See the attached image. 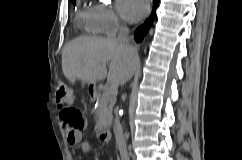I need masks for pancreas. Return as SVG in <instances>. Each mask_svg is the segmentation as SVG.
Returning <instances> with one entry per match:
<instances>
[{"instance_id":"1","label":"pancreas","mask_w":242,"mask_h":160,"mask_svg":"<svg viewBox=\"0 0 242 160\" xmlns=\"http://www.w3.org/2000/svg\"><path fill=\"white\" fill-rule=\"evenodd\" d=\"M94 99L98 100V107L95 110V131L99 132L103 128L111 125L112 106L110 104V98L104 99L103 96L95 95Z\"/></svg>"}]
</instances>
